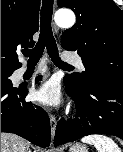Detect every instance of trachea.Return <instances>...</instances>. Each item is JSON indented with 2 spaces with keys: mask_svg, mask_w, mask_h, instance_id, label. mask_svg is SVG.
<instances>
[{
  "mask_svg": "<svg viewBox=\"0 0 123 152\" xmlns=\"http://www.w3.org/2000/svg\"><path fill=\"white\" fill-rule=\"evenodd\" d=\"M52 13L53 0H43L40 18V35L38 42L33 49L24 51L23 55L29 57V64H37L43 54L44 49L46 48L51 60L56 66L64 69H71L73 67L61 61L58 55V49L51 27Z\"/></svg>",
  "mask_w": 123,
  "mask_h": 152,
  "instance_id": "obj_1",
  "label": "trachea"
}]
</instances>
